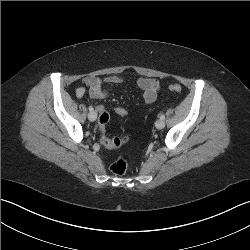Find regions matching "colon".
Masks as SVG:
<instances>
[{
  "instance_id": "colon-1",
  "label": "colon",
  "mask_w": 250,
  "mask_h": 250,
  "mask_svg": "<svg viewBox=\"0 0 250 250\" xmlns=\"http://www.w3.org/2000/svg\"><path fill=\"white\" fill-rule=\"evenodd\" d=\"M169 89L173 92L180 93L182 87L179 84L173 83L169 85ZM113 112L123 119L127 115V110L122 105H116L113 107ZM109 122V114L106 110H103L99 114L98 129L100 132L99 142L101 145H105L107 149L119 148L122 145L130 142L129 135H123L120 137L110 138L106 134V126ZM127 161L123 157L117 158L111 165V171L116 176H123L127 171Z\"/></svg>"
}]
</instances>
